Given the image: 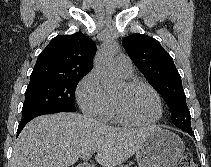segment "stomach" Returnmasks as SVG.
Segmentation results:
<instances>
[{
    "instance_id": "stomach-1",
    "label": "stomach",
    "mask_w": 211,
    "mask_h": 167,
    "mask_svg": "<svg viewBox=\"0 0 211 167\" xmlns=\"http://www.w3.org/2000/svg\"><path fill=\"white\" fill-rule=\"evenodd\" d=\"M184 149V142L179 136L155 127L136 152L138 167H174Z\"/></svg>"
}]
</instances>
